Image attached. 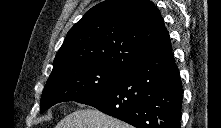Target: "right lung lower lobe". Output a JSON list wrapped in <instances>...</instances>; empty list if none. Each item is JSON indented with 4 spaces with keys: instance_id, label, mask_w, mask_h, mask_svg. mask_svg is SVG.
<instances>
[{
    "instance_id": "right-lung-lower-lobe-1",
    "label": "right lung lower lobe",
    "mask_w": 221,
    "mask_h": 128,
    "mask_svg": "<svg viewBox=\"0 0 221 128\" xmlns=\"http://www.w3.org/2000/svg\"><path fill=\"white\" fill-rule=\"evenodd\" d=\"M183 90L172 49L146 58L79 103L136 128H180Z\"/></svg>"
}]
</instances>
